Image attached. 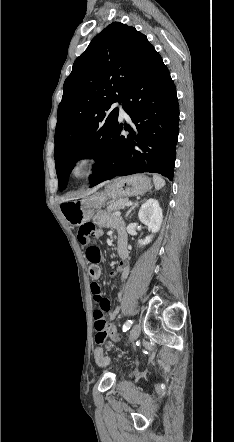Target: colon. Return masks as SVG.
Instances as JSON below:
<instances>
[{
    "mask_svg": "<svg viewBox=\"0 0 234 442\" xmlns=\"http://www.w3.org/2000/svg\"><path fill=\"white\" fill-rule=\"evenodd\" d=\"M95 234V226L91 223H87L80 227L78 231V239L81 244L87 245L86 257L91 263V266L89 268L90 277L93 280H98L101 276V269L98 266V263L101 259V251L96 245H88V239L90 237H95ZM92 294L95 303L98 305V307L94 310L93 317L95 316V314H105L110 308V302L108 299L102 297L100 287L96 283L92 289ZM94 360L97 366L102 365V368H105L107 361L103 357V351L100 345L94 346Z\"/></svg>",
    "mask_w": 234,
    "mask_h": 442,
    "instance_id": "1",
    "label": "colon"
}]
</instances>
